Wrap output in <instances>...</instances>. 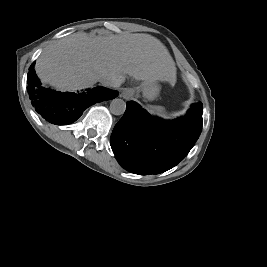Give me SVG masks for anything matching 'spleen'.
Returning <instances> with one entry per match:
<instances>
[{
    "label": "spleen",
    "mask_w": 267,
    "mask_h": 267,
    "mask_svg": "<svg viewBox=\"0 0 267 267\" xmlns=\"http://www.w3.org/2000/svg\"><path fill=\"white\" fill-rule=\"evenodd\" d=\"M147 109L153 115H157V116H160V117H165V109L162 106L149 105L147 107Z\"/></svg>",
    "instance_id": "obj_1"
}]
</instances>
